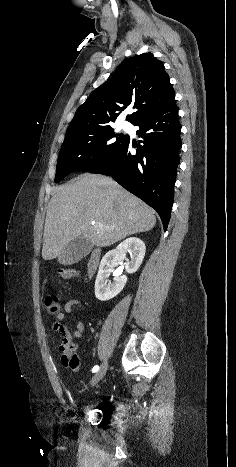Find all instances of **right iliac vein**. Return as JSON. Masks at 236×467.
Returning a JSON list of instances; mask_svg holds the SVG:
<instances>
[{
  "label": "right iliac vein",
  "mask_w": 236,
  "mask_h": 467,
  "mask_svg": "<svg viewBox=\"0 0 236 467\" xmlns=\"http://www.w3.org/2000/svg\"><path fill=\"white\" fill-rule=\"evenodd\" d=\"M108 369V364H103L100 369L94 374L91 379V386H95L105 376Z\"/></svg>",
  "instance_id": "right-iliac-vein-1"
}]
</instances>
